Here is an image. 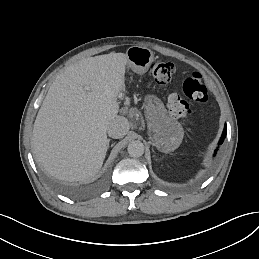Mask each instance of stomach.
Listing matches in <instances>:
<instances>
[{
	"instance_id": "obj_1",
	"label": "stomach",
	"mask_w": 259,
	"mask_h": 259,
	"mask_svg": "<svg viewBox=\"0 0 259 259\" xmlns=\"http://www.w3.org/2000/svg\"><path fill=\"white\" fill-rule=\"evenodd\" d=\"M126 54L130 67L137 73L147 71L154 59L152 50L147 47L133 46L127 50Z\"/></svg>"
}]
</instances>
